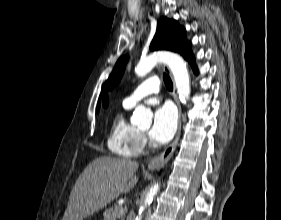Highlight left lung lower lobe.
<instances>
[{"label":"left lung lower lobe","instance_id":"0a47b994","mask_svg":"<svg viewBox=\"0 0 281 220\" xmlns=\"http://www.w3.org/2000/svg\"><path fill=\"white\" fill-rule=\"evenodd\" d=\"M189 63L191 64L194 73H197L198 71H197V68H196V65H195V60H194V58L191 59V60L189 61Z\"/></svg>","mask_w":281,"mask_h":220}]
</instances>
